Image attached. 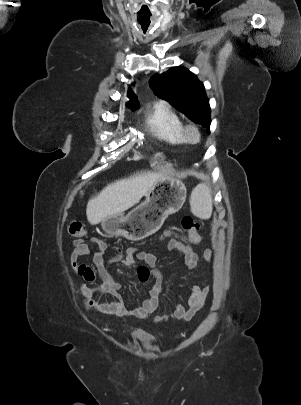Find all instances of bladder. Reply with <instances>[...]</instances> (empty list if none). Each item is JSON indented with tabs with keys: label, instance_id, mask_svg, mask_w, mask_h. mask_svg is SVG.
Masks as SVG:
<instances>
[{
	"label": "bladder",
	"instance_id": "bladder-1",
	"mask_svg": "<svg viewBox=\"0 0 301 405\" xmlns=\"http://www.w3.org/2000/svg\"><path fill=\"white\" fill-rule=\"evenodd\" d=\"M133 337L141 341H151L152 337L145 332H134Z\"/></svg>",
	"mask_w": 301,
	"mask_h": 405
}]
</instances>
